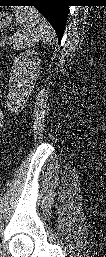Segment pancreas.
<instances>
[{"label":"pancreas","mask_w":106,"mask_h":257,"mask_svg":"<svg viewBox=\"0 0 106 257\" xmlns=\"http://www.w3.org/2000/svg\"><path fill=\"white\" fill-rule=\"evenodd\" d=\"M8 40H9V41L6 42V44H8V45H13V48H14V49L22 48V45L20 44L19 39L17 38V36L9 37ZM1 45H2V46L5 45V40H2V41H1Z\"/></svg>","instance_id":"1"}]
</instances>
